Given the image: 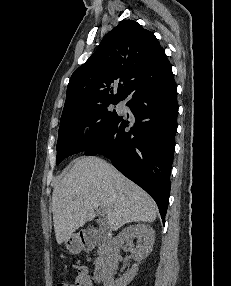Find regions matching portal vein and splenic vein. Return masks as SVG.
<instances>
[{
	"instance_id": "obj_1",
	"label": "portal vein and splenic vein",
	"mask_w": 231,
	"mask_h": 286,
	"mask_svg": "<svg viewBox=\"0 0 231 286\" xmlns=\"http://www.w3.org/2000/svg\"><path fill=\"white\" fill-rule=\"evenodd\" d=\"M98 213H99L100 215H104V214L106 213V211H105L104 208H99V209H98Z\"/></svg>"
}]
</instances>
